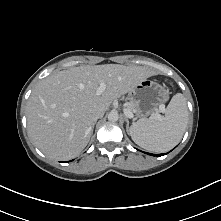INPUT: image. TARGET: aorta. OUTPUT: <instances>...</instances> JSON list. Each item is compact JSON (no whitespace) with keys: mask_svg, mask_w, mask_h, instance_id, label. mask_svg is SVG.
Segmentation results:
<instances>
[{"mask_svg":"<svg viewBox=\"0 0 221 221\" xmlns=\"http://www.w3.org/2000/svg\"><path fill=\"white\" fill-rule=\"evenodd\" d=\"M119 119V115L117 112L115 111H111L109 114H108V120L110 122H117Z\"/></svg>","mask_w":221,"mask_h":221,"instance_id":"obj_1","label":"aorta"}]
</instances>
